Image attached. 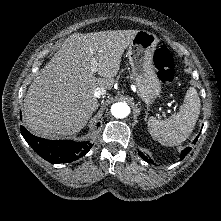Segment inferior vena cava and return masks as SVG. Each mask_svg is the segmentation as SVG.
I'll return each mask as SVG.
<instances>
[{
    "label": "inferior vena cava",
    "instance_id": "602c4592",
    "mask_svg": "<svg viewBox=\"0 0 221 221\" xmlns=\"http://www.w3.org/2000/svg\"><path fill=\"white\" fill-rule=\"evenodd\" d=\"M106 94V90L103 87H97L94 91V96L96 98L101 97L102 95Z\"/></svg>",
    "mask_w": 221,
    "mask_h": 221
}]
</instances>
